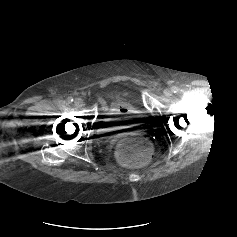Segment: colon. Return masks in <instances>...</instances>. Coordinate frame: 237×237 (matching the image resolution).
<instances>
[{"label":"colon","instance_id":"5ec220e1","mask_svg":"<svg viewBox=\"0 0 237 237\" xmlns=\"http://www.w3.org/2000/svg\"><path fill=\"white\" fill-rule=\"evenodd\" d=\"M118 159L126 165H142L151 157V147L139 133L124 136L117 148Z\"/></svg>","mask_w":237,"mask_h":237}]
</instances>
